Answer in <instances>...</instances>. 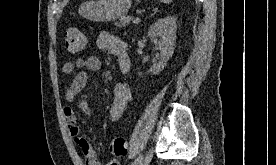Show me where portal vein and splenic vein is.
Here are the masks:
<instances>
[{"instance_id":"1","label":"portal vein and splenic vein","mask_w":276,"mask_h":165,"mask_svg":"<svg viewBox=\"0 0 276 165\" xmlns=\"http://www.w3.org/2000/svg\"><path fill=\"white\" fill-rule=\"evenodd\" d=\"M139 22H140V18L138 17L134 18L133 23H139Z\"/></svg>"}]
</instances>
